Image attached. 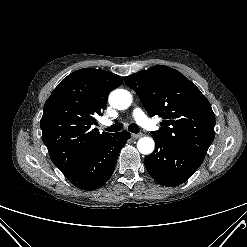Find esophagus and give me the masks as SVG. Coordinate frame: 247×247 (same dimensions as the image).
<instances>
[{
  "instance_id": "esophagus-1",
  "label": "esophagus",
  "mask_w": 247,
  "mask_h": 247,
  "mask_svg": "<svg viewBox=\"0 0 247 247\" xmlns=\"http://www.w3.org/2000/svg\"><path fill=\"white\" fill-rule=\"evenodd\" d=\"M142 136H143L142 133H139V134H131V137H132L133 139H138V138H140V137H142Z\"/></svg>"
}]
</instances>
